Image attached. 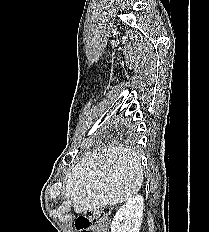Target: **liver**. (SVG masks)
I'll use <instances>...</instances> for the list:
<instances>
[{"label": "liver", "mask_w": 209, "mask_h": 232, "mask_svg": "<svg viewBox=\"0 0 209 232\" xmlns=\"http://www.w3.org/2000/svg\"><path fill=\"white\" fill-rule=\"evenodd\" d=\"M141 158L130 148L86 153L67 176L65 198L76 213L114 206L134 197L143 183Z\"/></svg>", "instance_id": "1"}]
</instances>
